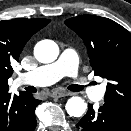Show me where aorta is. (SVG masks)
I'll list each match as a JSON object with an SVG mask.
<instances>
[{
  "instance_id": "obj_1",
  "label": "aorta",
  "mask_w": 131,
  "mask_h": 131,
  "mask_svg": "<svg viewBox=\"0 0 131 131\" xmlns=\"http://www.w3.org/2000/svg\"><path fill=\"white\" fill-rule=\"evenodd\" d=\"M34 55L41 63H51L57 59L59 47L52 40H42L36 44ZM65 108L70 116L81 117L87 109V104L81 97L76 96L67 101Z\"/></svg>"
}]
</instances>
